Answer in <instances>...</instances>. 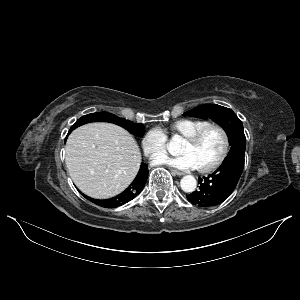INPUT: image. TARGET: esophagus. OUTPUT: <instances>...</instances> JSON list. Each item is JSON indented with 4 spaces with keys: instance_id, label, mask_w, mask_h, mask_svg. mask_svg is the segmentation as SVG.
Segmentation results:
<instances>
[{
    "instance_id": "34e87169",
    "label": "esophagus",
    "mask_w": 300,
    "mask_h": 300,
    "mask_svg": "<svg viewBox=\"0 0 300 300\" xmlns=\"http://www.w3.org/2000/svg\"><path fill=\"white\" fill-rule=\"evenodd\" d=\"M171 173L174 174V175H178V176L184 175L183 172H181L179 170H175V169H171Z\"/></svg>"
}]
</instances>
